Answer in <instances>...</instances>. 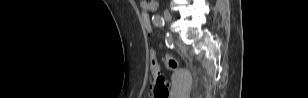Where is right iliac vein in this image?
Here are the masks:
<instances>
[{"mask_svg":"<svg viewBox=\"0 0 308 98\" xmlns=\"http://www.w3.org/2000/svg\"><path fill=\"white\" fill-rule=\"evenodd\" d=\"M163 15H164V18H165V20H166L167 22H171V20H172V15H171V13H170L167 9H165V10L163 11Z\"/></svg>","mask_w":308,"mask_h":98,"instance_id":"right-iliac-vein-1","label":"right iliac vein"}]
</instances>
